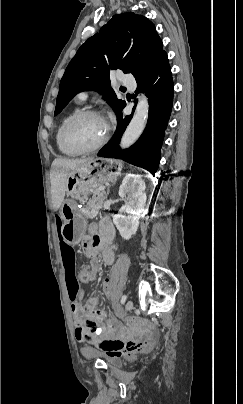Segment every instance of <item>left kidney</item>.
I'll return each mask as SVG.
<instances>
[{
	"label": "left kidney",
	"mask_w": 243,
	"mask_h": 404,
	"mask_svg": "<svg viewBox=\"0 0 243 404\" xmlns=\"http://www.w3.org/2000/svg\"><path fill=\"white\" fill-rule=\"evenodd\" d=\"M145 188V182L138 174H127L120 186L119 196L125 200V206L113 216V222L124 240H130L138 230L139 220L145 212Z\"/></svg>",
	"instance_id": "5707ae66"
}]
</instances>
